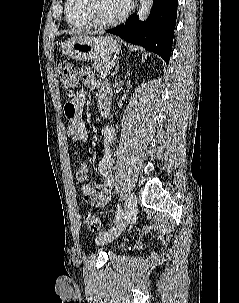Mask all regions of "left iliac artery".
I'll return each instance as SVG.
<instances>
[{"label": "left iliac artery", "mask_w": 239, "mask_h": 303, "mask_svg": "<svg viewBox=\"0 0 239 303\" xmlns=\"http://www.w3.org/2000/svg\"><path fill=\"white\" fill-rule=\"evenodd\" d=\"M122 215V208L121 206L118 204L117 205V211H116V220H118Z\"/></svg>", "instance_id": "44dca946"}]
</instances>
